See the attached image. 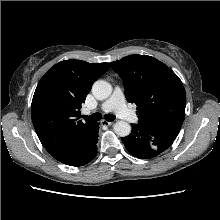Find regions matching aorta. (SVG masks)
Segmentation results:
<instances>
[{"mask_svg":"<svg viewBox=\"0 0 220 220\" xmlns=\"http://www.w3.org/2000/svg\"><path fill=\"white\" fill-rule=\"evenodd\" d=\"M92 93L98 100L107 99L112 93V86L104 80H97L92 86ZM114 132L120 137H126L131 132V126L125 121H117L114 124Z\"/></svg>","mask_w":220,"mask_h":220,"instance_id":"aorta-1","label":"aorta"}]
</instances>
